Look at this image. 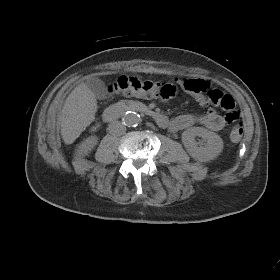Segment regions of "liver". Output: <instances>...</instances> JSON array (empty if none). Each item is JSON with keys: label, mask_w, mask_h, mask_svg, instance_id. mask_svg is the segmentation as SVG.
<instances>
[{"label": "liver", "mask_w": 280, "mask_h": 280, "mask_svg": "<svg viewBox=\"0 0 280 280\" xmlns=\"http://www.w3.org/2000/svg\"><path fill=\"white\" fill-rule=\"evenodd\" d=\"M97 108L96 96L85 83L74 88L61 112V135L65 144H72L90 125Z\"/></svg>", "instance_id": "liver-1"}]
</instances>
